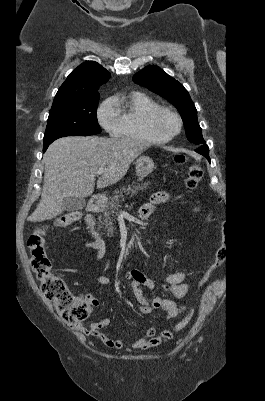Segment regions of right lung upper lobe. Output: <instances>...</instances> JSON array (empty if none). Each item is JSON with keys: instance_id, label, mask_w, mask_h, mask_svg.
Here are the masks:
<instances>
[{"instance_id": "right-lung-upper-lobe-1", "label": "right lung upper lobe", "mask_w": 265, "mask_h": 401, "mask_svg": "<svg viewBox=\"0 0 265 401\" xmlns=\"http://www.w3.org/2000/svg\"><path fill=\"white\" fill-rule=\"evenodd\" d=\"M109 79V72L94 61H86L69 74L59 88L52 106L99 95L98 88Z\"/></svg>"}]
</instances>
